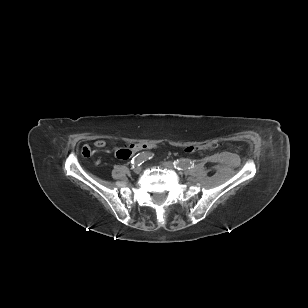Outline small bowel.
I'll list each match as a JSON object with an SVG mask.
<instances>
[{
    "label": "small bowel",
    "mask_w": 308,
    "mask_h": 308,
    "mask_svg": "<svg viewBox=\"0 0 308 308\" xmlns=\"http://www.w3.org/2000/svg\"><path fill=\"white\" fill-rule=\"evenodd\" d=\"M135 144H141V143H135ZM95 147L102 149L106 146V142L102 139H98L94 142ZM118 150V149H117ZM116 150V152H117ZM137 152V151H136Z\"/></svg>",
    "instance_id": "c3829d8e"
}]
</instances>
